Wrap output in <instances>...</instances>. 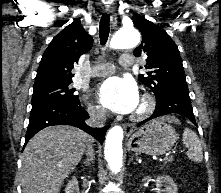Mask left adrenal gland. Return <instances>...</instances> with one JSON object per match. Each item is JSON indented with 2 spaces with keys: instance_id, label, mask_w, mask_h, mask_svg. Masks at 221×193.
Returning a JSON list of instances; mask_svg holds the SVG:
<instances>
[{
  "instance_id": "obj_1",
  "label": "left adrenal gland",
  "mask_w": 221,
  "mask_h": 193,
  "mask_svg": "<svg viewBox=\"0 0 221 193\" xmlns=\"http://www.w3.org/2000/svg\"><path fill=\"white\" fill-rule=\"evenodd\" d=\"M130 163L137 164V163L134 161L133 156H131V158H130V160H129V164H130Z\"/></svg>"
}]
</instances>
